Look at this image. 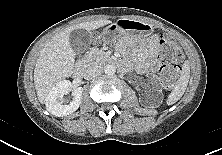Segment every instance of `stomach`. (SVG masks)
I'll return each mask as SVG.
<instances>
[{
    "label": "stomach",
    "instance_id": "0dacf381",
    "mask_svg": "<svg viewBox=\"0 0 222 155\" xmlns=\"http://www.w3.org/2000/svg\"><path fill=\"white\" fill-rule=\"evenodd\" d=\"M154 28L146 22L121 18L113 23L100 34V38L104 43H114L119 40H128L133 46L142 44L152 34Z\"/></svg>",
    "mask_w": 222,
    "mask_h": 155
}]
</instances>
